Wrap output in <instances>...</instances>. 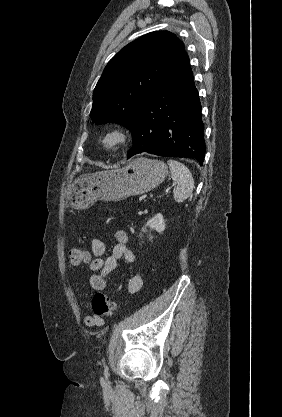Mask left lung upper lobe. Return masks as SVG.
I'll return each instance as SVG.
<instances>
[{
	"label": "left lung upper lobe",
	"mask_w": 282,
	"mask_h": 417,
	"mask_svg": "<svg viewBox=\"0 0 282 417\" xmlns=\"http://www.w3.org/2000/svg\"><path fill=\"white\" fill-rule=\"evenodd\" d=\"M184 53L183 42L169 31L151 32L126 45L109 61L94 89L92 121L131 129L139 108Z\"/></svg>",
	"instance_id": "5c2ea615"
}]
</instances>
